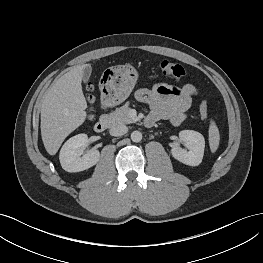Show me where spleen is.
Segmentation results:
<instances>
[{
	"label": "spleen",
	"instance_id": "1",
	"mask_svg": "<svg viewBox=\"0 0 263 263\" xmlns=\"http://www.w3.org/2000/svg\"><path fill=\"white\" fill-rule=\"evenodd\" d=\"M219 141L220 135L218 127L216 126L215 122L211 120L209 126V146L212 153L216 152L218 149Z\"/></svg>",
	"mask_w": 263,
	"mask_h": 263
}]
</instances>
